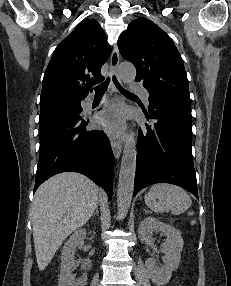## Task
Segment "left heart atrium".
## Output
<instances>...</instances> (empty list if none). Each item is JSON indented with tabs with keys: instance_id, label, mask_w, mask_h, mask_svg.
Wrapping results in <instances>:
<instances>
[{
	"instance_id": "1",
	"label": "left heart atrium",
	"mask_w": 231,
	"mask_h": 286,
	"mask_svg": "<svg viewBox=\"0 0 231 286\" xmlns=\"http://www.w3.org/2000/svg\"><path fill=\"white\" fill-rule=\"evenodd\" d=\"M126 111L124 107L115 105L97 117V125L112 137H120L125 130Z\"/></svg>"
}]
</instances>
